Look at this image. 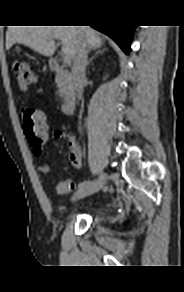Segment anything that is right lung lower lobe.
Segmentation results:
<instances>
[{"instance_id":"1","label":"right lung lower lobe","mask_w":184,"mask_h":292,"mask_svg":"<svg viewBox=\"0 0 184 292\" xmlns=\"http://www.w3.org/2000/svg\"><path fill=\"white\" fill-rule=\"evenodd\" d=\"M92 27L110 36L126 54L129 53L135 26L97 24Z\"/></svg>"}]
</instances>
